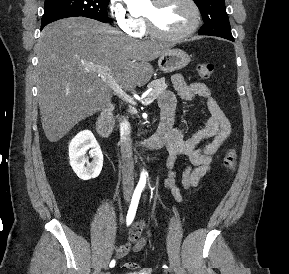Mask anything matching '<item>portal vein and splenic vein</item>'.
Returning <instances> with one entry per match:
<instances>
[{"instance_id": "18ae733b", "label": "portal vein and splenic vein", "mask_w": 289, "mask_h": 274, "mask_svg": "<svg viewBox=\"0 0 289 274\" xmlns=\"http://www.w3.org/2000/svg\"><path fill=\"white\" fill-rule=\"evenodd\" d=\"M93 69L98 72V74L101 76L103 81H105L112 90L117 93L121 98L124 100H127L129 102L133 103V98L130 97L123 89L122 87L116 82V80L111 76L110 69L108 67H102V66H94ZM154 101L153 97H147L144 99L143 103L145 105H149Z\"/></svg>"}]
</instances>
